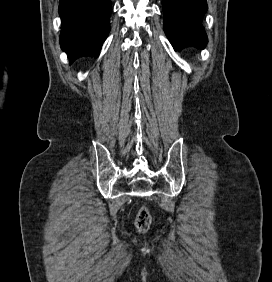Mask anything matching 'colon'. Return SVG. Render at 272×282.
I'll return each instance as SVG.
<instances>
[{"label": "colon", "mask_w": 272, "mask_h": 282, "mask_svg": "<svg viewBox=\"0 0 272 282\" xmlns=\"http://www.w3.org/2000/svg\"><path fill=\"white\" fill-rule=\"evenodd\" d=\"M152 222V217L149 209L142 205L138 208L136 218H135V226L138 231L144 232L148 230Z\"/></svg>", "instance_id": "colon-1"}]
</instances>
